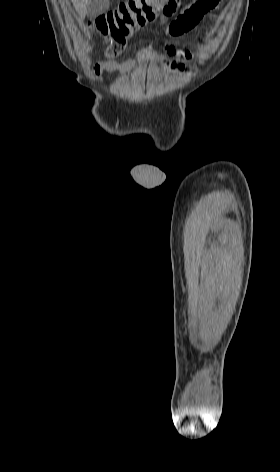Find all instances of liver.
I'll use <instances>...</instances> for the list:
<instances>
[{"label":"liver","mask_w":280,"mask_h":472,"mask_svg":"<svg viewBox=\"0 0 280 472\" xmlns=\"http://www.w3.org/2000/svg\"><path fill=\"white\" fill-rule=\"evenodd\" d=\"M71 2L79 15V20L82 21L88 12L90 0H71Z\"/></svg>","instance_id":"obj_1"}]
</instances>
